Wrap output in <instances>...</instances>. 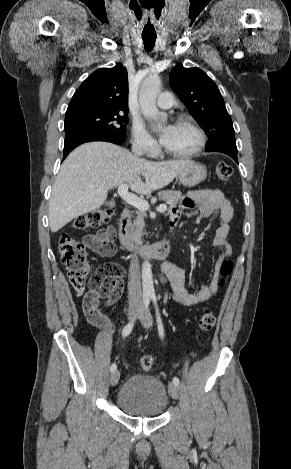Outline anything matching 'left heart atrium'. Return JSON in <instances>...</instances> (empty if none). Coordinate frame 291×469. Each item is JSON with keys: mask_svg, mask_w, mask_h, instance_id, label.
Listing matches in <instances>:
<instances>
[{"mask_svg": "<svg viewBox=\"0 0 291 469\" xmlns=\"http://www.w3.org/2000/svg\"><path fill=\"white\" fill-rule=\"evenodd\" d=\"M174 131V125L166 126L160 134V141L162 144H166L170 139L172 133Z\"/></svg>", "mask_w": 291, "mask_h": 469, "instance_id": "1", "label": "left heart atrium"}]
</instances>
